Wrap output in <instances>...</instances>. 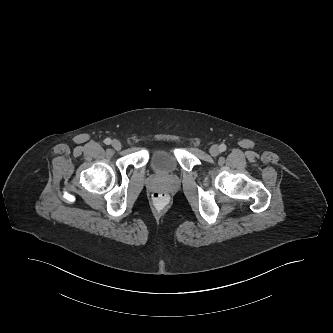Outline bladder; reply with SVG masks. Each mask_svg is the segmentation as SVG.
Returning <instances> with one entry per match:
<instances>
[{
	"label": "bladder",
	"mask_w": 333,
	"mask_h": 333,
	"mask_svg": "<svg viewBox=\"0 0 333 333\" xmlns=\"http://www.w3.org/2000/svg\"><path fill=\"white\" fill-rule=\"evenodd\" d=\"M150 162L156 171L166 173L176 166V153L170 149H155L150 153Z\"/></svg>",
	"instance_id": "bladder-1"
}]
</instances>
